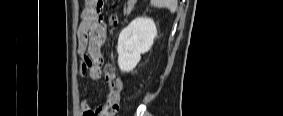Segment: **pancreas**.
<instances>
[{
    "instance_id": "1",
    "label": "pancreas",
    "mask_w": 283,
    "mask_h": 116,
    "mask_svg": "<svg viewBox=\"0 0 283 116\" xmlns=\"http://www.w3.org/2000/svg\"><path fill=\"white\" fill-rule=\"evenodd\" d=\"M132 10V7L131 6H128L127 8H124V14L125 15H128Z\"/></svg>"
}]
</instances>
